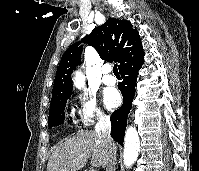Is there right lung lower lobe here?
<instances>
[{
	"label": "right lung lower lobe",
	"mask_w": 199,
	"mask_h": 171,
	"mask_svg": "<svg viewBox=\"0 0 199 171\" xmlns=\"http://www.w3.org/2000/svg\"><path fill=\"white\" fill-rule=\"evenodd\" d=\"M143 62L144 56L120 69L123 81L119 83L118 88L121 90L124 102L118 110L113 112L110 118L112 124L111 137L120 145H123L127 116L130 112L135 95L138 71L142 67Z\"/></svg>",
	"instance_id": "right-lung-lower-lobe-1"
}]
</instances>
